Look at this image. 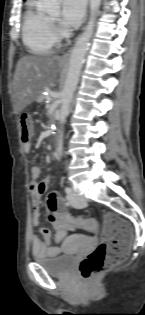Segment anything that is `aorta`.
I'll list each match as a JSON object with an SVG mask.
<instances>
[{
    "label": "aorta",
    "mask_w": 145,
    "mask_h": 315,
    "mask_svg": "<svg viewBox=\"0 0 145 315\" xmlns=\"http://www.w3.org/2000/svg\"><path fill=\"white\" fill-rule=\"evenodd\" d=\"M89 2H90L89 21L85 27L84 32L80 35L72 49L69 60V66L67 70V76L61 94L60 100L61 106L59 116L61 130L59 132L56 149V152L59 157L63 155V125L65 124L66 118L70 112L71 101L73 98V94L76 90L84 58L87 53L88 46L94 32L96 15L101 0H90ZM42 9L47 13L51 14L58 13L60 11L59 0H43Z\"/></svg>",
    "instance_id": "aorta-1"
}]
</instances>
